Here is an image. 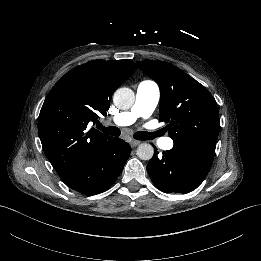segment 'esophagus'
<instances>
[{"label": "esophagus", "instance_id": "obj_1", "mask_svg": "<svg viewBox=\"0 0 261 261\" xmlns=\"http://www.w3.org/2000/svg\"><path fill=\"white\" fill-rule=\"evenodd\" d=\"M140 143H141V142L138 141V140H132V141H130V145H131L132 147H136V146H138Z\"/></svg>", "mask_w": 261, "mask_h": 261}]
</instances>
